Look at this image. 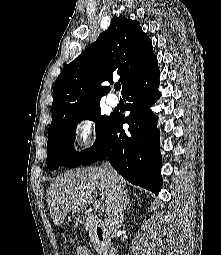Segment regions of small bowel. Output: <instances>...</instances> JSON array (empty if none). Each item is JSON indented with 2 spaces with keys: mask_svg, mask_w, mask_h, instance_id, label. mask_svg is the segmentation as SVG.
<instances>
[{
  "mask_svg": "<svg viewBox=\"0 0 221 255\" xmlns=\"http://www.w3.org/2000/svg\"><path fill=\"white\" fill-rule=\"evenodd\" d=\"M76 254L77 255H92L91 251L83 245H79L76 248Z\"/></svg>",
  "mask_w": 221,
  "mask_h": 255,
  "instance_id": "obj_1",
  "label": "small bowel"
}]
</instances>
